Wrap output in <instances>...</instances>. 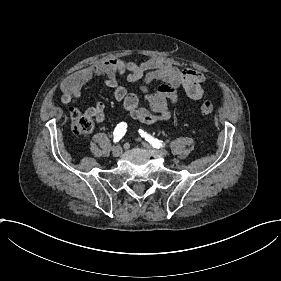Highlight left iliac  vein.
I'll list each match as a JSON object with an SVG mask.
<instances>
[{"mask_svg": "<svg viewBox=\"0 0 281 281\" xmlns=\"http://www.w3.org/2000/svg\"><path fill=\"white\" fill-rule=\"evenodd\" d=\"M145 145L143 146V147H145V149H150V150H152L153 151V148H151V144H148V142L147 143H144ZM154 152L156 153V155H158V156H167V151H165V150H157V149H154Z\"/></svg>", "mask_w": 281, "mask_h": 281, "instance_id": "obj_1", "label": "left iliac vein"}]
</instances>
